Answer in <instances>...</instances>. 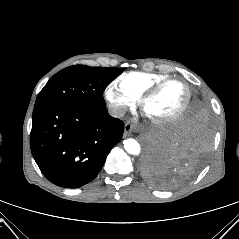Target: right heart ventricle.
I'll list each match as a JSON object with an SVG mask.
<instances>
[{"mask_svg":"<svg viewBox=\"0 0 239 239\" xmlns=\"http://www.w3.org/2000/svg\"><path fill=\"white\" fill-rule=\"evenodd\" d=\"M167 77L168 75L161 73L133 71L121 75L117 82L124 91L137 99L149 87Z\"/></svg>","mask_w":239,"mask_h":239,"instance_id":"right-heart-ventricle-1","label":"right heart ventricle"}]
</instances>
